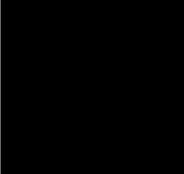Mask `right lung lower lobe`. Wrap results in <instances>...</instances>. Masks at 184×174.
Listing matches in <instances>:
<instances>
[{
  "label": "right lung lower lobe",
  "instance_id": "1",
  "mask_svg": "<svg viewBox=\"0 0 184 174\" xmlns=\"http://www.w3.org/2000/svg\"><path fill=\"white\" fill-rule=\"evenodd\" d=\"M77 119L62 117L54 122H39L33 128L34 136L39 142L52 148L66 146L73 137Z\"/></svg>",
  "mask_w": 184,
  "mask_h": 174
}]
</instances>
